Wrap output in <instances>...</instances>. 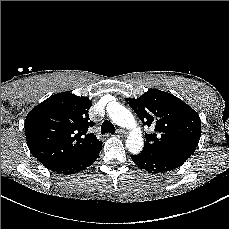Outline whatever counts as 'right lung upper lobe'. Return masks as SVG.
I'll return each mask as SVG.
<instances>
[{
	"mask_svg": "<svg viewBox=\"0 0 229 229\" xmlns=\"http://www.w3.org/2000/svg\"><path fill=\"white\" fill-rule=\"evenodd\" d=\"M91 100L70 92L55 94L34 107L25 120L31 154L44 166L53 167L86 153L102 142L88 132Z\"/></svg>",
	"mask_w": 229,
	"mask_h": 229,
	"instance_id": "right-lung-upper-lobe-1",
	"label": "right lung upper lobe"
}]
</instances>
